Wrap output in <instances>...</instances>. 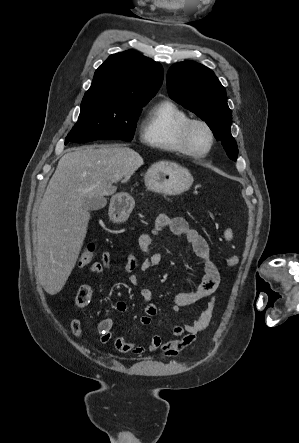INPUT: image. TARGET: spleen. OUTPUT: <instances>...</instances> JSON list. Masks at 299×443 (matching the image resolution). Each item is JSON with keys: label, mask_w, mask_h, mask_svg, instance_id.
<instances>
[{"label": "spleen", "mask_w": 299, "mask_h": 443, "mask_svg": "<svg viewBox=\"0 0 299 443\" xmlns=\"http://www.w3.org/2000/svg\"><path fill=\"white\" fill-rule=\"evenodd\" d=\"M225 238H226L227 240H230V239L232 238V232H231L230 229H228V230L225 231Z\"/></svg>", "instance_id": "spleen-1"}]
</instances>
